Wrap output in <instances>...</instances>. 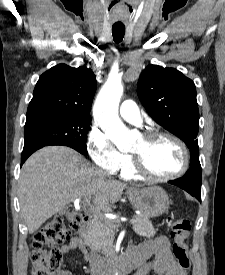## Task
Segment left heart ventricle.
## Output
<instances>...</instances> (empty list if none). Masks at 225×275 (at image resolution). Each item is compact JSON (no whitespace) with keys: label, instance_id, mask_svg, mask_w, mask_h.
Returning a JSON list of instances; mask_svg holds the SVG:
<instances>
[{"label":"left heart ventricle","instance_id":"obj_1","mask_svg":"<svg viewBox=\"0 0 225 275\" xmlns=\"http://www.w3.org/2000/svg\"><path fill=\"white\" fill-rule=\"evenodd\" d=\"M132 152L142 155L146 168L156 175H169L176 172L183 161L177 144L165 138L147 142L141 137Z\"/></svg>","mask_w":225,"mask_h":275}]
</instances>
